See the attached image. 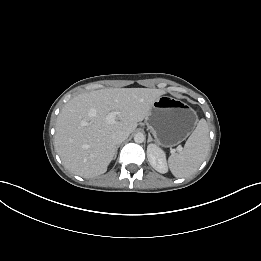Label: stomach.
<instances>
[{"mask_svg":"<svg viewBox=\"0 0 261 261\" xmlns=\"http://www.w3.org/2000/svg\"><path fill=\"white\" fill-rule=\"evenodd\" d=\"M146 122L159 145L172 147L193 132L198 124V116L188 104L161 96L153 103Z\"/></svg>","mask_w":261,"mask_h":261,"instance_id":"0dacf381","label":"stomach"}]
</instances>
